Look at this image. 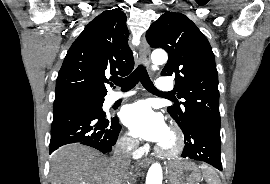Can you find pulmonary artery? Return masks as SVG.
<instances>
[{
	"instance_id": "obj_1",
	"label": "pulmonary artery",
	"mask_w": 270,
	"mask_h": 184,
	"mask_svg": "<svg viewBox=\"0 0 270 184\" xmlns=\"http://www.w3.org/2000/svg\"><path fill=\"white\" fill-rule=\"evenodd\" d=\"M156 88L161 93H168L173 89V84L168 78H159L156 81ZM133 93H127V94H120V93H114L110 96V102H116L120 99L127 98L131 96Z\"/></svg>"
}]
</instances>
